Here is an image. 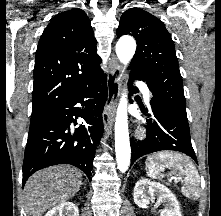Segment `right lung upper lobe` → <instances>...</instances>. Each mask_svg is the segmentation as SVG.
Wrapping results in <instances>:
<instances>
[{"instance_id": "obj_1", "label": "right lung upper lobe", "mask_w": 221, "mask_h": 216, "mask_svg": "<svg viewBox=\"0 0 221 216\" xmlns=\"http://www.w3.org/2000/svg\"><path fill=\"white\" fill-rule=\"evenodd\" d=\"M90 20L75 8L54 16L36 51L32 115L45 113L103 76Z\"/></svg>"}]
</instances>
